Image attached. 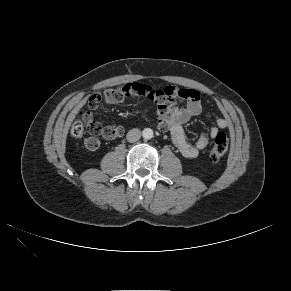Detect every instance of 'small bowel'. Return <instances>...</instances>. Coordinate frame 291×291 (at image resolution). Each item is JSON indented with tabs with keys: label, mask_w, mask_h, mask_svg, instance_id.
Returning a JSON list of instances; mask_svg holds the SVG:
<instances>
[{
	"label": "small bowel",
	"mask_w": 291,
	"mask_h": 291,
	"mask_svg": "<svg viewBox=\"0 0 291 291\" xmlns=\"http://www.w3.org/2000/svg\"><path fill=\"white\" fill-rule=\"evenodd\" d=\"M96 96H101L102 99L100 102L104 101L107 104L121 103L126 98L138 96L154 101L157 105V128L160 131H169L174 145L188 159L197 157L199 151L208 146L210 139L214 138L219 130L229 125L227 119L219 118L216 120L215 125L210 128L209 132L201 135L195 143L188 141L184 125L202 111L200 93L193 88H181L175 85H169L163 89H152L145 84L132 82L109 89L103 94H94L90 97L89 101ZM99 144L100 142L96 138H87L85 141V145L89 150H96Z\"/></svg>",
	"instance_id": "1"
}]
</instances>
